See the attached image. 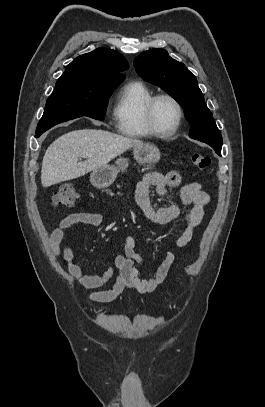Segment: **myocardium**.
I'll use <instances>...</instances> for the list:
<instances>
[{
	"label": "myocardium",
	"mask_w": 265,
	"mask_h": 407,
	"mask_svg": "<svg viewBox=\"0 0 265 407\" xmlns=\"http://www.w3.org/2000/svg\"><path fill=\"white\" fill-rule=\"evenodd\" d=\"M162 99L170 100L175 105L177 112H178V117H177L176 123L174 124V126L171 129H169L167 131L160 130L157 127V125L155 123V118H154L156 104ZM183 117H184V110H183L182 104L179 102V100L176 97H174L170 94H167V93L154 95L148 101V103L145 106V110H144V118H145L147 127L149 128L150 132L153 135L158 136V137H169V136L175 134L181 126Z\"/></svg>",
	"instance_id": "obj_1"
}]
</instances>
